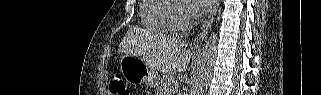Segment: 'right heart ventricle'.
Listing matches in <instances>:
<instances>
[{"mask_svg":"<svg viewBox=\"0 0 321 95\" xmlns=\"http://www.w3.org/2000/svg\"><path fill=\"white\" fill-rule=\"evenodd\" d=\"M173 0H143L140 7L142 24L150 31L167 34L175 30L171 21Z\"/></svg>","mask_w":321,"mask_h":95,"instance_id":"e07e8e85","label":"right heart ventricle"}]
</instances>
